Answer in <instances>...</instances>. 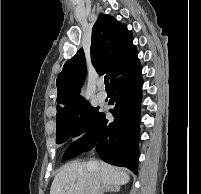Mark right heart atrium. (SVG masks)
Instances as JSON below:
<instances>
[{"label": "right heart atrium", "instance_id": "right-heart-atrium-1", "mask_svg": "<svg viewBox=\"0 0 201 194\" xmlns=\"http://www.w3.org/2000/svg\"><path fill=\"white\" fill-rule=\"evenodd\" d=\"M88 133V129L85 127H78L72 137L74 141L84 138Z\"/></svg>", "mask_w": 201, "mask_h": 194}]
</instances>
